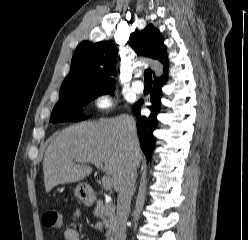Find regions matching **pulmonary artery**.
Masks as SVG:
<instances>
[{"label":"pulmonary artery","mask_w":248,"mask_h":240,"mask_svg":"<svg viewBox=\"0 0 248 240\" xmlns=\"http://www.w3.org/2000/svg\"><path fill=\"white\" fill-rule=\"evenodd\" d=\"M132 89L136 93H141L143 91V89H144V84L142 83V81L137 79V80L133 81Z\"/></svg>","instance_id":"obj_1"}]
</instances>
